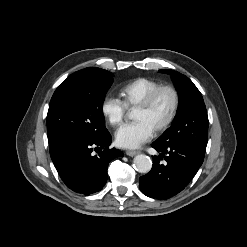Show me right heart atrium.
Here are the masks:
<instances>
[{
    "mask_svg": "<svg viewBox=\"0 0 247 247\" xmlns=\"http://www.w3.org/2000/svg\"><path fill=\"white\" fill-rule=\"evenodd\" d=\"M100 110L103 117L111 124L116 126L121 123L126 112V106L124 103L114 97V96H105L101 102Z\"/></svg>",
    "mask_w": 247,
    "mask_h": 247,
    "instance_id": "d8ad5b80",
    "label": "right heart atrium"
}]
</instances>
